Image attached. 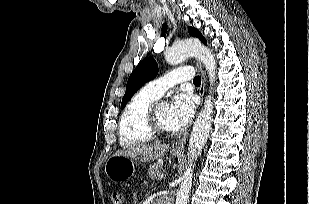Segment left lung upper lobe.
<instances>
[{"label": "left lung upper lobe", "mask_w": 309, "mask_h": 204, "mask_svg": "<svg viewBox=\"0 0 309 204\" xmlns=\"http://www.w3.org/2000/svg\"><path fill=\"white\" fill-rule=\"evenodd\" d=\"M191 36L199 38L204 44L207 43L203 35L193 27H189ZM158 73V66L153 57L142 60L131 73L126 86V93L122 99L121 108H124L134 93L146 82L154 79Z\"/></svg>", "instance_id": "obj_1"}]
</instances>
